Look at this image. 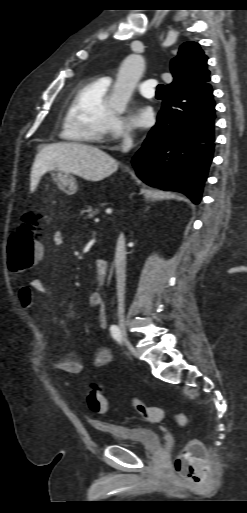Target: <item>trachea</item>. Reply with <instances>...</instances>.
Masks as SVG:
<instances>
[{"instance_id": "3493384b", "label": "trachea", "mask_w": 247, "mask_h": 513, "mask_svg": "<svg viewBox=\"0 0 247 513\" xmlns=\"http://www.w3.org/2000/svg\"><path fill=\"white\" fill-rule=\"evenodd\" d=\"M164 90H165V86L163 84L158 85V87H157V94L163 95Z\"/></svg>"}]
</instances>
